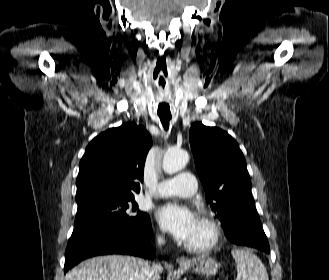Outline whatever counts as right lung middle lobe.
Segmentation results:
<instances>
[{"label": "right lung middle lobe", "mask_w": 329, "mask_h": 280, "mask_svg": "<svg viewBox=\"0 0 329 280\" xmlns=\"http://www.w3.org/2000/svg\"><path fill=\"white\" fill-rule=\"evenodd\" d=\"M76 201L78 209L72 235L102 225L133 234L143 231L150 224L149 216L138 210L133 196L93 195Z\"/></svg>", "instance_id": "right-lung-middle-lobe-1"}]
</instances>
